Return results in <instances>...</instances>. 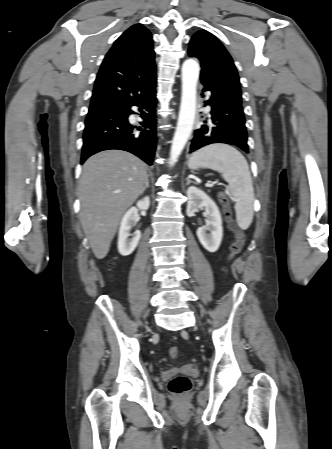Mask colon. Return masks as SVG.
I'll return each instance as SVG.
<instances>
[{"mask_svg": "<svg viewBox=\"0 0 332 449\" xmlns=\"http://www.w3.org/2000/svg\"><path fill=\"white\" fill-rule=\"evenodd\" d=\"M218 198H219V201L224 209L225 218H226L227 222L231 224L232 223V211L230 208L229 198L225 193H220ZM245 241H246L245 233L240 229H236L235 230V240L230 246L229 254L227 257L228 261L232 260L241 251ZM179 354H180V350L178 347H176V346L170 347L169 356L172 359L178 358ZM190 388H191V381L187 376H184V375H178V376L174 377L169 382L170 392L177 396H181V395L187 393L190 390Z\"/></svg>", "mask_w": 332, "mask_h": 449, "instance_id": "1", "label": "colon"}]
</instances>
